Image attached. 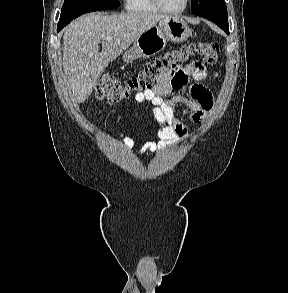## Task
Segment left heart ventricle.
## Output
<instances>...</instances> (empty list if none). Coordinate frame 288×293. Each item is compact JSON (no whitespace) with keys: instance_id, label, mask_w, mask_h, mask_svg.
I'll use <instances>...</instances> for the list:
<instances>
[{"instance_id":"left-heart-ventricle-1","label":"left heart ventricle","mask_w":288,"mask_h":293,"mask_svg":"<svg viewBox=\"0 0 288 293\" xmlns=\"http://www.w3.org/2000/svg\"><path fill=\"white\" fill-rule=\"evenodd\" d=\"M163 5L171 10H176L182 7L184 0H161Z\"/></svg>"}]
</instances>
